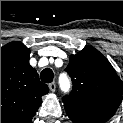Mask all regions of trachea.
I'll list each match as a JSON object with an SVG mask.
<instances>
[{"label": "trachea", "instance_id": "3493384b", "mask_svg": "<svg viewBox=\"0 0 123 123\" xmlns=\"http://www.w3.org/2000/svg\"><path fill=\"white\" fill-rule=\"evenodd\" d=\"M53 77H54V73L50 68L44 69L40 74L41 80L45 83L52 82Z\"/></svg>", "mask_w": 123, "mask_h": 123}]
</instances>
